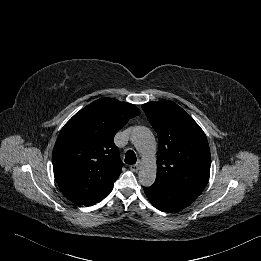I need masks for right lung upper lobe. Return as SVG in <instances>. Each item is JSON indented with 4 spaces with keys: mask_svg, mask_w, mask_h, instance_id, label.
I'll return each instance as SVG.
<instances>
[{
    "mask_svg": "<svg viewBox=\"0 0 261 261\" xmlns=\"http://www.w3.org/2000/svg\"><path fill=\"white\" fill-rule=\"evenodd\" d=\"M139 114L133 104L101 98L64 125L53 149V170L69 200L91 206L111 192L123 166L114 135Z\"/></svg>",
    "mask_w": 261,
    "mask_h": 261,
    "instance_id": "right-lung-upper-lobe-1",
    "label": "right lung upper lobe"
}]
</instances>
